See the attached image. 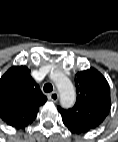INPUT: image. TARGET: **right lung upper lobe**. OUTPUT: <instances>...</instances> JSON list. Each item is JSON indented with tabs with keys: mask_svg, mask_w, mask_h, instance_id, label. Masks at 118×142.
Segmentation results:
<instances>
[{
	"mask_svg": "<svg viewBox=\"0 0 118 142\" xmlns=\"http://www.w3.org/2000/svg\"><path fill=\"white\" fill-rule=\"evenodd\" d=\"M47 101L25 66L11 67L0 79V118L17 129L32 123Z\"/></svg>",
	"mask_w": 118,
	"mask_h": 142,
	"instance_id": "obj_1",
	"label": "right lung upper lobe"
}]
</instances>
